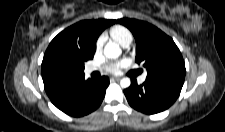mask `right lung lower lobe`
Segmentation results:
<instances>
[{"label": "right lung lower lobe", "mask_w": 225, "mask_h": 132, "mask_svg": "<svg viewBox=\"0 0 225 132\" xmlns=\"http://www.w3.org/2000/svg\"><path fill=\"white\" fill-rule=\"evenodd\" d=\"M108 85L109 78L106 76L85 80V75L82 73L46 90V93L58 109L70 116L81 117L100 106Z\"/></svg>", "instance_id": "obj_1"}]
</instances>
